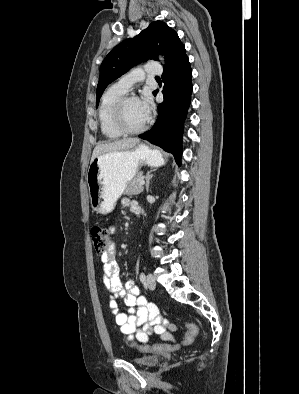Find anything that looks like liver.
<instances>
[{
  "mask_svg": "<svg viewBox=\"0 0 299 394\" xmlns=\"http://www.w3.org/2000/svg\"><path fill=\"white\" fill-rule=\"evenodd\" d=\"M139 143V139L136 138H128L117 141H112L109 143H99L93 150L91 161L98 157L99 155L108 153V152H116V151H126L135 147L136 144Z\"/></svg>",
  "mask_w": 299,
  "mask_h": 394,
  "instance_id": "1",
  "label": "liver"
}]
</instances>
